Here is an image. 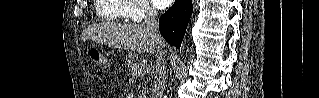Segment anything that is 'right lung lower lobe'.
I'll return each instance as SVG.
<instances>
[{
    "label": "right lung lower lobe",
    "mask_w": 319,
    "mask_h": 98,
    "mask_svg": "<svg viewBox=\"0 0 319 98\" xmlns=\"http://www.w3.org/2000/svg\"><path fill=\"white\" fill-rule=\"evenodd\" d=\"M192 11L191 0H175L173 6L160 17V32L170 45L180 48Z\"/></svg>",
    "instance_id": "obj_1"
}]
</instances>
